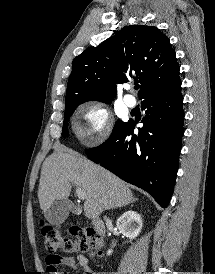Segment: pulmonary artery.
Here are the masks:
<instances>
[{
  "mask_svg": "<svg viewBox=\"0 0 215 274\" xmlns=\"http://www.w3.org/2000/svg\"><path fill=\"white\" fill-rule=\"evenodd\" d=\"M123 100H124V103L126 104V106H128L130 108H134L137 104L135 97L130 94H126L124 96Z\"/></svg>",
  "mask_w": 215,
  "mask_h": 274,
  "instance_id": "pulmonary-artery-1",
  "label": "pulmonary artery"
}]
</instances>
